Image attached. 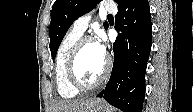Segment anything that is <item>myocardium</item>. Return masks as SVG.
Segmentation results:
<instances>
[{"mask_svg": "<svg viewBox=\"0 0 193 112\" xmlns=\"http://www.w3.org/2000/svg\"><path fill=\"white\" fill-rule=\"evenodd\" d=\"M89 42H96V40H95V38H93L91 36L80 37L76 41L74 46L72 47L70 54H69V57H68V60H67L68 80L71 83V85L79 91H88V90H92V89H95L98 86H100L107 79L109 72H110V68H111L110 59H109V57L105 56L104 70L95 82L85 83L79 78V76L77 74V70H76L77 59H78V56H79L83 46Z\"/></svg>", "mask_w": 193, "mask_h": 112, "instance_id": "1", "label": "myocardium"}]
</instances>
